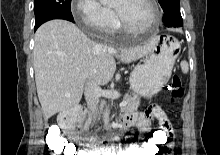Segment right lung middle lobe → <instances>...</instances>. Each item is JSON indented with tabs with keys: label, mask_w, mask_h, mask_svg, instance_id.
I'll return each instance as SVG.
<instances>
[{
	"label": "right lung middle lobe",
	"mask_w": 220,
	"mask_h": 155,
	"mask_svg": "<svg viewBox=\"0 0 220 155\" xmlns=\"http://www.w3.org/2000/svg\"><path fill=\"white\" fill-rule=\"evenodd\" d=\"M70 6L71 0H34L36 24L58 15L73 17Z\"/></svg>",
	"instance_id": "obj_1"
}]
</instances>
